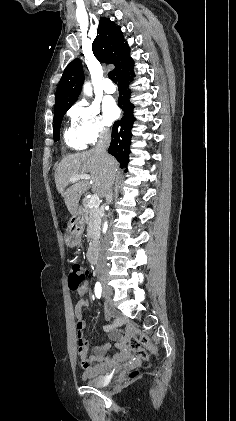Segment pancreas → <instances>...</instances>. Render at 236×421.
<instances>
[{"label": "pancreas", "instance_id": "obj_1", "mask_svg": "<svg viewBox=\"0 0 236 421\" xmlns=\"http://www.w3.org/2000/svg\"><path fill=\"white\" fill-rule=\"evenodd\" d=\"M83 213L86 225L92 229L93 235H91V241H98L100 235L102 211H100V208H96V206L90 208L89 198H84Z\"/></svg>", "mask_w": 236, "mask_h": 421}]
</instances>
